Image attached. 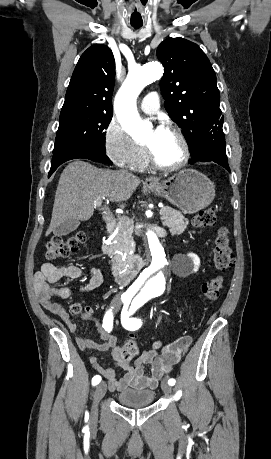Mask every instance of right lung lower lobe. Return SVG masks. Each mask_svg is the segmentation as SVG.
<instances>
[{
	"label": "right lung lower lobe",
	"mask_w": 271,
	"mask_h": 459,
	"mask_svg": "<svg viewBox=\"0 0 271 459\" xmlns=\"http://www.w3.org/2000/svg\"><path fill=\"white\" fill-rule=\"evenodd\" d=\"M77 158H84L95 162L112 164L110 159L106 156L105 150L85 146L70 147L53 154L51 169L49 171L48 177H50L62 163Z\"/></svg>",
	"instance_id": "right-lung-lower-lobe-1"
}]
</instances>
